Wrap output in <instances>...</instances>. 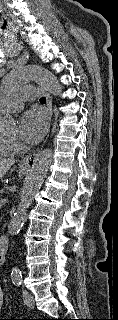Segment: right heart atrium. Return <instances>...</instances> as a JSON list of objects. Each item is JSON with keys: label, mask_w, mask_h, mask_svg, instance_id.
Wrapping results in <instances>:
<instances>
[{"label": "right heart atrium", "mask_w": 118, "mask_h": 320, "mask_svg": "<svg viewBox=\"0 0 118 320\" xmlns=\"http://www.w3.org/2000/svg\"><path fill=\"white\" fill-rule=\"evenodd\" d=\"M10 143H11L13 149H18L20 147V144L16 139H10Z\"/></svg>", "instance_id": "d8ad5b80"}]
</instances>
